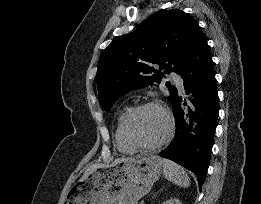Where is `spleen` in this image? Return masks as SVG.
<instances>
[{"label":"spleen","instance_id":"spleen-1","mask_svg":"<svg viewBox=\"0 0 261 204\" xmlns=\"http://www.w3.org/2000/svg\"><path fill=\"white\" fill-rule=\"evenodd\" d=\"M163 173L167 180L180 187L187 188L190 185L186 171L173 161L163 159Z\"/></svg>","mask_w":261,"mask_h":204}]
</instances>
